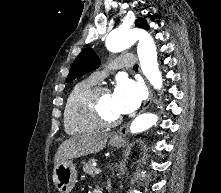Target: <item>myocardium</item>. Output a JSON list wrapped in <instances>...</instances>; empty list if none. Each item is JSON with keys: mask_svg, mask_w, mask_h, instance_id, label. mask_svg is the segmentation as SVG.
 <instances>
[{"mask_svg": "<svg viewBox=\"0 0 221 193\" xmlns=\"http://www.w3.org/2000/svg\"><path fill=\"white\" fill-rule=\"evenodd\" d=\"M109 88L106 85H94L89 89L79 101L81 114L101 127H113L122 121V117L109 118L105 115L101 107V97Z\"/></svg>", "mask_w": 221, "mask_h": 193, "instance_id": "myocardium-1", "label": "myocardium"}]
</instances>
